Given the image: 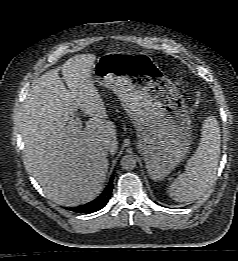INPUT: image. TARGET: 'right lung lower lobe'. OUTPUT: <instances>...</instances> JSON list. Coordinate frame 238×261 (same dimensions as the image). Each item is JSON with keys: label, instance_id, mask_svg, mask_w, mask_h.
<instances>
[{"label": "right lung lower lobe", "instance_id": "obj_1", "mask_svg": "<svg viewBox=\"0 0 238 261\" xmlns=\"http://www.w3.org/2000/svg\"><path fill=\"white\" fill-rule=\"evenodd\" d=\"M113 189V177H111L109 184L107 185V187L105 188V190L100 194V196L98 198H96L95 200L76 207V208H72L70 209L73 212H79V213H92L95 211H98L100 209H102L103 207H105V205L108 203L110 196H111V192Z\"/></svg>", "mask_w": 238, "mask_h": 261}]
</instances>
